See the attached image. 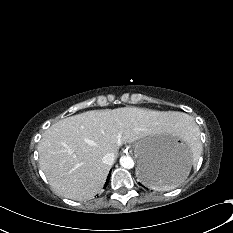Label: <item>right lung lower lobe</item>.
I'll list each match as a JSON object with an SVG mask.
<instances>
[{
    "instance_id": "right-lung-lower-lobe-1",
    "label": "right lung lower lobe",
    "mask_w": 233,
    "mask_h": 233,
    "mask_svg": "<svg viewBox=\"0 0 233 233\" xmlns=\"http://www.w3.org/2000/svg\"><path fill=\"white\" fill-rule=\"evenodd\" d=\"M109 178H110V174L108 175L107 181H106V183H105V185H104V189L106 188V186H107V184H108Z\"/></svg>"
}]
</instances>
